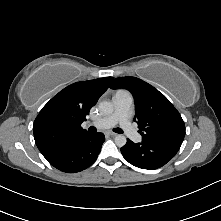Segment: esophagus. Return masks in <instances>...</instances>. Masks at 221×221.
Returning a JSON list of instances; mask_svg holds the SVG:
<instances>
[{
	"label": "esophagus",
	"instance_id": "esophagus-1",
	"mask_svg": "<svg viewBox=\"0 0 221 221\" xmlns=\"http://www.w3.org/2000/svg\"><path fill=\"white\" fill-rule=\"evenodd\" d=\"M107 134L110 135V136H116V135H117V134L114 133V132H107Z\"/></svg>",
	"mask_w": 221,
	"mask_h": 221
}]
</instances>
